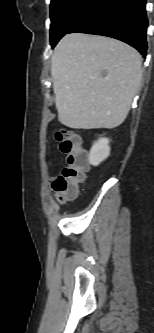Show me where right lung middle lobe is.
<instances>
[{"mask_svg": "<svg viewBox=\"0 0 154 333\" xmlns=\"http://www.w3.org/2000/svg\"><path fill=\"white\" fill-rule=\"evenodd\" d=\"M99 0H51L50 42L52 48L94 8Z\"/></svg>", "mask_w": 154, "mask_h": 333, "instance_id": "right-lung-middle-lobe-1", "label": "right lung middle lobe"}]
</instances>
